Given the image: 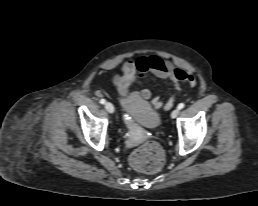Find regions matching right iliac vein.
<instances>
[{
    "label": "right iliac vein",
    "mask_w": 258,
    "mask_h": 206,
    "mask_svg": "<svg viewBox=\"0 0 258 206\" xmlns=\"http://www.w3.org/2000/svg\"><path fill=\"white\" fill-rule=\"evenodd\" d=\"M105 109L111 114L114 113V106L110 102L105 103Z\"/></svg>",
    "instance_id": "1"
}]
</instances>
